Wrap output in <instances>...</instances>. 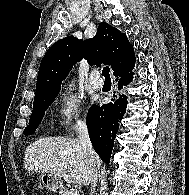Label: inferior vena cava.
I'll return each mask as SVG.
<instances>
[{
  "mask_svg": "<svg viewBox=\"0 0 189 195\" xmlns=\"http://www.w3.org/2000/svg\"><path fill=\"white\" fill-rule=\"evenodd\" d=\"M76 129H77L79 141L86 148L88 155L90 157H94L96 153L91 144L86 123L84 121L79 120L77 122ZM97 180H98V172L97 170L94 169V175L91 181L90 195H92L95 192Z\"/></svg>",
  "mask_w": 189,
  "mask_h": 195,
  "instance_id": "inferior-vena-cava-1",
  "label": "inferior vena cava"
}]
</instances>
